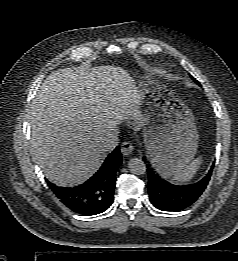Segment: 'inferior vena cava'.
I'll return each mask as SVG.
<instances>
[{
  "instance_id": "inferior-vena-cava-1",
  "label": "inferior vena cava",
  "mask_w": 238,
  "mask_h": 261,
  "mask_svg": "<svg viewBox=\"0 0 238 261\" xmlns=\"http://www.w3.org/2000/svg\"><path fill=\"white\" fill-rule=\"evenodd\" d=\"M118 141L117 129H115L114 131L107 133L104 138L103 147L106 151L110 152L118 145Z\"/></svg>"
}]
</instances>
